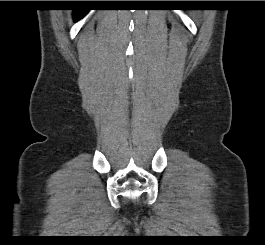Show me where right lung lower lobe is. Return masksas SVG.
<instances>
[{
  "mask_svg": "<svg viewBox=\"0 0 265 245\" xmlns=\"http://www.w3.org/2000/svg\"><path fill=\"white\" fill-rule=\"evenodd\" d=\"M87 12L88 10H75V13H74L75 21H78L79 19H81Z\"/></svg>",
  "mask_w": 265,
  "mask_h": 245,
  "instance_id": "1",
  "label": "right lung lower lobe"
}]
</instances>
